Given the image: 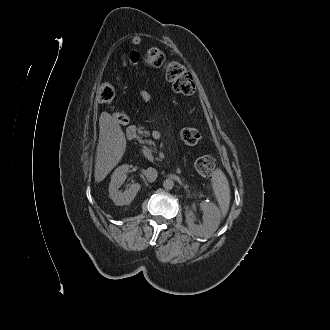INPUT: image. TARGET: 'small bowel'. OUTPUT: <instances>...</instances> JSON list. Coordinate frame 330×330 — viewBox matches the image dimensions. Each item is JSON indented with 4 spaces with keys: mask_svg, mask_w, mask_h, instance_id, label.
<instances>
[{
    "mask_svg": "<svg viewBox=\"0 0 330 330\" xmlns=\"http://www.w3.org/2000/svg\"><path fill=\"white\" fill-rule=\"evenodd\" d=\"M132 42L134 45H139L141 42V39L139 37H134ZM138 59H139L138 54H136L135 56L131 54L128 58V62L130 65L135 66L138 64ZM139 97L145 103H149L152 100L151 93L146 89H141L139 91ZM127 121H128V117H126L124 122H119V121L118 122L123 124V123H126Z\"/></svg>",
    "mask_w": 330,
    "mask_h": 330,
    "instance_id": "obj_1",
    "label": "small bowel"
}]
</instances>
